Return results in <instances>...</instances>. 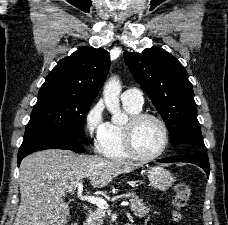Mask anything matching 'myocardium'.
<instances>
[{
  "mask_svg": "<svg viewBox=\"0 0 228 225\" xmlns=\"http://www.w3.org/2000/svg\"><path fill=\"white\" fill-rule=\"evenodd\" d=\"M146 119H153L157 121L163 128L164 131V143L159 152L153 155L143 154L137 147L136 144V130L138 126ZM124 139L128 151L132 156L142 160H155L160 158L167 150L170 142V131L167 123L158 115L152 113L140 112L130 117L127 124L124 126Z\"/></svg>",
  "mask_w": 228,
  "mask_h": 225,
  "instance_id": "myocardium-1",
  "label": "myocardium"
}]
</instances>
